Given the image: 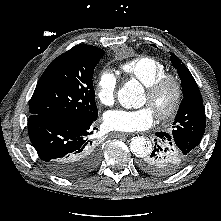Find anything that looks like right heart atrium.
I'll return each mask as SVG.
<instances>
[{
	"mask_svg": "<svg viewBox=\"0 0 221 221\" xmlns=\"http://www.w3.org/2000/svg\"><path fill=\"white\" fill-rule=\"evenodd\" d=\"M117 90L116 76L109 70L99 73L95 84V96L104 106H111L115 101Z\"/></svg>",
	"mask_w": 221,
	"mask_h": 221,
	"instance_id": "obj_1",
	"label": "right heart atrium"
}]
</instances>
